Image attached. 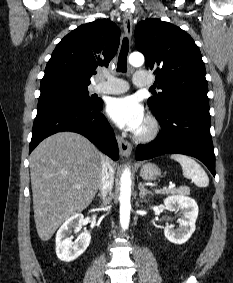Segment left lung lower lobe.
I'll use <instances>...</instances> for the list:
<instances>
[{"mask_svg": "<svg viewBox=\"0 0 233 283\" xmlns=\"http://www.w3.org/2000/svg\"><path fill=\"white\" fill-rule=\"evenodd\" d=\"M153 113L162 130L151 143L137 146L135 158L150 159L165 153L190 155L202 161L215 176L209 102L179 101L164 112Z\"/></svg>", "mask_w": 233, "mask_h": 283, "instance_id": "left-lung-lower-lobe-1", "label": "left lung lower lobe"}]
</instances>
